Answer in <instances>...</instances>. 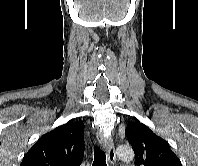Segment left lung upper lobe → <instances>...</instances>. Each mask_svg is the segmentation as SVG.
I'll use <instances>...</instances> for the list:
<instances>
[{
    "label": "left lung upper lobe",
    "mask_w": 198,
    "mask_h": 166,
    "mask_svg": "<svg viewBox=\"0 0 198 166\" xmlns=\"http://www.w3.org/2000/svg\"><path fill=\"white\" fill-rule=\"evenodd\" d=\"M125 133L134 150L137 166H182L169 144L146 125L133 122Z\"/></svg>",
    "instance_id": "1"
}]
</instances>
